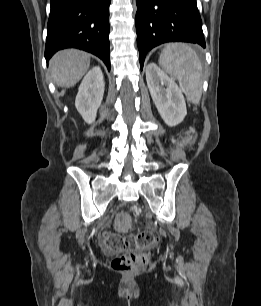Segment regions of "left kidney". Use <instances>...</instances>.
<instances>
[{"label": "left kidney", "mask_w": 261, "mask_h": 306, "mask_svg": "<svg viewBox=\"0 0 261 306\" xmlns=\"http://www.w3.org/2000/svg\"><path fill=\"white\" fill-rule=\"evenodd\" d=\"M146 80L153 102L164 122L170 127L181 123L187 109L184 96L175 81L155 63L147 65Z\"/></svg>", "instance_id": "1"}]
</instances>
